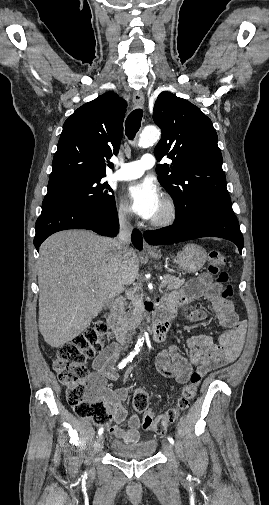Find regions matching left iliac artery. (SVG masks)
Instances as JSON below:
<instances>
[{
	"label": "left iliac artery",
	"mask_w": 269,
	"mask_h": 505,
	"mask_svg": "<svg viewBox=\"0 0 269 505\" xmlns=\"http://www.w3.org/2000/svg\"><path fill=\"white\" fill-rule=\"evenodd\" d=\"M168 441L171 443V444H174V440L172 437H168Z\"/></svg>",
	"instance_id": "1"
}]
</instances>
